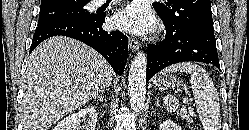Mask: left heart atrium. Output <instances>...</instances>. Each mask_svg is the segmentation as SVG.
Returning a JSON list of instances; mask_svg holds the SVG:
<instances>
[{
    "label": "left heart atrium",
    "mask_w": 249,
    "mask_h": 130,
    "mask_svg": "<svg viewBox=\"0 0 249 130\" xmlns=\"http://www.w3.org/2000/svg\"><path fill=\"white\" fill-rule=\"evenodd\" d=\"M114 25L134 34H146L154 28L149 8L142 1H136L118 12L113 18Z\"/></svg>",
    "instance_id": "left-heart-atrium-1"
}]
</instances>
